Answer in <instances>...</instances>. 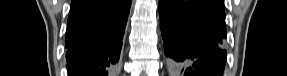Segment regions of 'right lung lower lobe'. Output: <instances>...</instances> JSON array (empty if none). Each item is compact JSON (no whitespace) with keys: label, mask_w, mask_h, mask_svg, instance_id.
<instances>
[{"label":"right lung lower lobe","mask_w":287,"mask_h":76,"mask_svg":"<svg viewBox=\"0 0 287 76\" xmlns=\"http://www.w3.org/2000/svg\"><path fill=\"white\" fill-rule=\"evenodd\" d=\"M132 0H72L65 46L69 76H112Z\"/></svg>","instance_id":"98d812e1"}]
</instances>
